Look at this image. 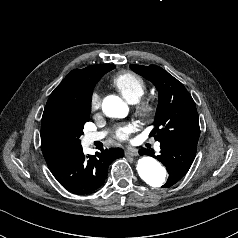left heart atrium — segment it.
<instances>
[{"label":"left heart atrium","mask_w":238,"mask_h":238,"mask_svg":"<svg viewBox=\"0 0 238 238\" xmlns=\"http://www.w3.org/2000/svg\"><path fill=\"white\" fill-rule=\"evenodd\" d=\"M133 130V126L131 124H124L116 128L115 137L119 140L127 139L128 135Z\"/></svg>","instance_id":"left-heart-atrium-1"}]
</instances>
